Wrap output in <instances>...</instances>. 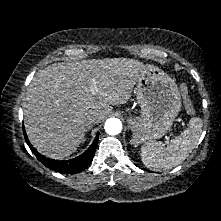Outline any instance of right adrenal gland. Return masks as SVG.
<instances>
[{"instance_id": "1", "label": "right adrenal gland", "mask_w": 221, "mask_h": 221, "mask_svg": "<svg viewBox=\"0 0 221 221\" xmlns=\"http://www.w3.org/2000/svg\"><path fill=\"white\" fill-rule=\"evenodd\" d=\"M88 131H89V128H87V129L85 130L83 142L85 141V135H86V133H87Z\"/></svg>"}]
</instances>
